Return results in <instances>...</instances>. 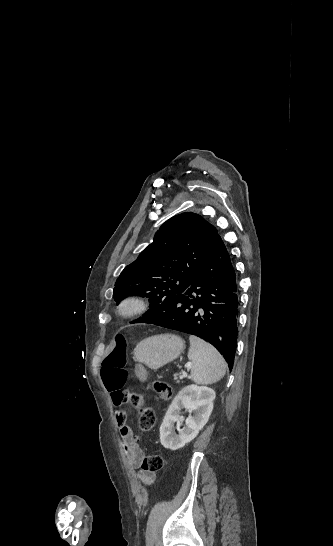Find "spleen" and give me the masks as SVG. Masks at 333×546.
<instances>
[{"instance_id":"1","label":"spleen","mask_w":333,"mask_h":546,"mask_svg":"<svg viewBox=\"0 0 333 546\" xmlns=\"http://www.w3.org/2000/svg\"><path fill=\"white\" fill-rule=\"evenodd\" d=\"M189 341L188 358L192 363V380L204 385L221 380L226 372V363L221 354L196 336H190Z\"/></svg>"}]
</instances>
